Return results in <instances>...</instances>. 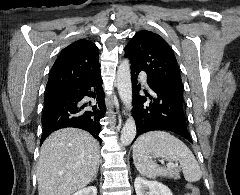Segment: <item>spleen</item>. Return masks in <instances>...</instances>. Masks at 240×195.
Returning <instances> with one entry per match:
<instances>
[{
    "mask_svg": "<svg viewBox=\"0 0 240 195\" xmlns=\"http://www.w3.org/2000/svg\"><path fill=\"white\" fill-rule=\"evenodd\" d=\"M163 157L167 161H179L187 181H199L202 177L200 165L191 149L168 131H146L137 137L133 145V161L136 169L145 177L164 175V167L153 161Z\"/></svg>",
    "mask_w": 240,
    "mask_h": 195,
    "instance_id": "obj_1",
    "label": "spleen"
}]
</instances>
